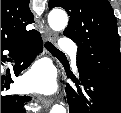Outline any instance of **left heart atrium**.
Segmentation results:
<instances>
[{
  "instance_id": "obj_1",
  "label": "left heart atrium",
  "mask_w": 121,
  "mask_h": 113,
  "mask_svg": "<svg viewBox=\"0 0 121 113\" xmlns=\"http://www.w3.org/2000/svg\"><path fill=\"white\" fill-rule=\"evenodd\" d=\"M25 84L27 88L52 91L55 87L54 71L47 65H38L27 76Z\"/></svg>"
}]
</instances>
